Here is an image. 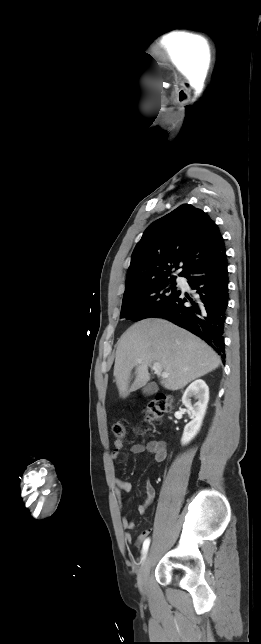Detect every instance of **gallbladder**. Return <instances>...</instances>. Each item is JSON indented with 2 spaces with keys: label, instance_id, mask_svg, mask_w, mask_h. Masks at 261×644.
<instances>
[{
  "label": "gallbladder",
  "instance_id": "1",
  "mask_svg": "<svg viewBox=\"0 0 261 644\" xmlns=\"http://www.w3.org/2000/svg\"><path fill=\"white\" fill-rule=\"evenodd\" d=\"M158 390L157 386L153 383H149L143 388V394L150 396L156 393Z\"/></svg>",
  "mask_w": 261,
  "mask_h": 644
}]
</instances>
